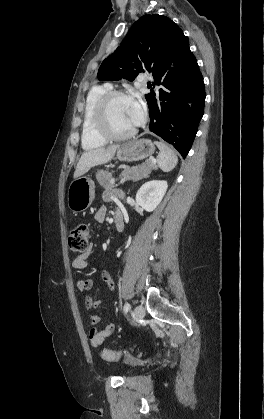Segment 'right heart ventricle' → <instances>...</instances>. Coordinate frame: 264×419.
<instances>
[{
  "label": "right heart ventricle",
  "instance_id": "right-heart-ventricle-1",
  "mask_svg": "<svg viewBox=\"0 0 264 419\" xmlns=\"http://www.w3.org/2000/svg\"><path fill=\"white\" fill-rule=\"evenodd\" d=\"M108 91H110L108 85L95 86L86 97L81 134V145L84 150L99 148L107 141L95 128L94 114L99 99Z\"/></svg>",
  "mask_w": 264,
  "mask_h": 419
}]
</instances>
